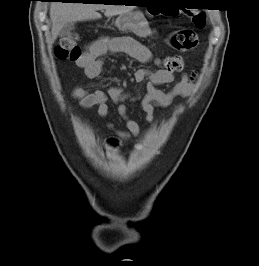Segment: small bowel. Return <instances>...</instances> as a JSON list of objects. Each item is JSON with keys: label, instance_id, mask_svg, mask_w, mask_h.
Masks as SVG:
<instances>
[{"label": "small bowel", "instance_id": "c3829d8e", "mask_svg": "<svg viewBox=\"0 0 259 266\" xmlns=\"http://www.w3.org/2000/svg\"><path fill=\"white\" fill-rule=\"evenodd\" d=\"M108 52L125 53L142 63H147L152 58L151 51L133 38L100 37L92 41L77 60L78 66L83 69L86 77L96 78L101 74L104 56ZM134 78L136 82H145L144 94L139 99V102L148 123L153 122L154 110L156 108L168 107L176 99L190 95L194 90L193 77L186 73H183L181 80L168 91L161 90L158 86L171 83L174 80L172 72L166 70L151 71L142 68L135 72ZM75 95L79 99L81 106H96L99 115L102 117L108 115V101L118 106V113L125 121L127 131H116L117 137L107 139V147L115 148L119 145L121 139H128L139 135V124L127 114V103L138 100L135 96L124 92L119 87H110L106 92L95 91L92 93L77 88ZM108 126L113 128L110 123Z\"/></svg>", "mask_w": 259, "mask_h": 266}]
</instances>
